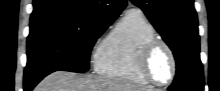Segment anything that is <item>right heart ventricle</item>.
I'll use <instances>...</instances> for the list:
<instances>
[{"instance_id":"1","label":"right heart ventricle","mask_w":220,"mask_h":91,"mask_svg":"<svg viewBox=\"0 0 220 91\" xmlns=\"http://www.w3.org/2000/svg\"><path fill=\"white\" fill-rule=\"evenodd\" d=\"M154 38L155 29L141 11L126 12L99 48L95 57L96 71L108 78L147 85L139 73L137 60L143 45Z\"/></svg>"}]
</instances>
